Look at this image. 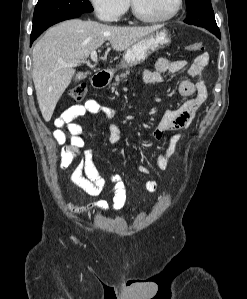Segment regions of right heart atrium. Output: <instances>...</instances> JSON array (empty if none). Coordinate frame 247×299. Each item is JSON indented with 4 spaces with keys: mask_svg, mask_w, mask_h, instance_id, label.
<instances>
[{
    "mask_svg": "<svg viewBox=\"0 0 247 299\" xmlns=\"http://www.w3.org/2000/svg\"><path fill=\"white\" fill-rule=\"evenodd\" d=\"M96 16L108 23L117 22L128 8V0H89Z\"/></svg>",
    "mask_w": 247,
    "mask_h": 299,
    "instance_id": "1",
    "label": "right heart atrium"
}]
</instances>
